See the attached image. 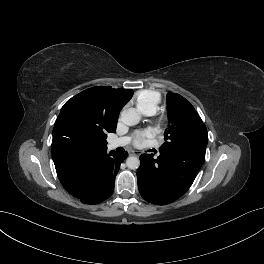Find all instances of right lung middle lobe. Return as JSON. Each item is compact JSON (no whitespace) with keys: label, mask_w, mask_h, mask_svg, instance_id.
<instances>
[{"label":"right lung middle lobe","mask_w":264,"mask_h":264,"mask_svg":"<svg viewBox=\"0 0 264 264\" xmlns=\"http://www.w3.org/2000/svg\"><path fill=\"white\" fill-rule=\"evenodd\" d=\"M54 129L75 146L93 147L107 144V132L92 121L89 102L84 97L74 96L64 104Z\"/></svg>","instance_id":"obj_1"}]
</instances>
